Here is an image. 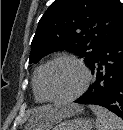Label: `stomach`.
Listing matches in <instances>:
<instances>
[{"instance_id":"stomach-1","label":"stomach","mask_w":123,"mask_h":130,"mask_svg":"<svg viewBox=\"0 0 123 130\" xmlns=\"http://www.w3.org/2000/svg\"><path fill=\"white\" fill-rule=\"evenodd\" d=\"M93 123L91 120L86 118H75L71 120H65L53 125L48 130H92ZM33 130V129H26Z\"/></svg>"}]
</instances>
